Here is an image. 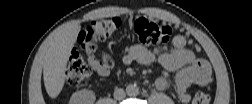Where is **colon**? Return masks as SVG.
I'll return each instance as SVG.
<instances>
[{
  "mask_svg": "<svg viewBox=\"0 0 252 104\" xmlns=\"http://www.w3.org/2000/svg\"><path fill=\"white\" fill-rule=\"evenodd\" d=\"M121 22L118 18L101 19L84 25L78 35L79 50H74L67 62L66 79L70 85L77 86L91 78V70L85 64L81 52L91 56L95 51L96 42L112 37L119 29ZM139 41L144 45H153L166 42L170 39L175 29L168 24L159 23L145 17L138 18L134 24ZM101 62L112 69V57L104 52ZM210 96L204 91H197L193 97L194 104H208Z\"/></svg>",
  "mask_w": 252,
  "mask_h": 104,
  "instance_id": "obj_1",
  "label": "colon"
}]
</instances>
